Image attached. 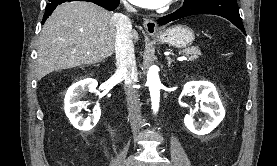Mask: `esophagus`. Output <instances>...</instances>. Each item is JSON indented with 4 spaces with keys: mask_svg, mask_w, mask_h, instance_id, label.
<instances>
[{
    "mask_svg": "<svg viewBox=\"0 0 277 166\" xmlns=\"http://www.w3.org/2000/svg\"><path fill=\"white\" fill-rule=\"evenodd\" d=\"M143 26L146 32L150 35H156L161 33V29L158 27L157 23L153 19H144Z\"/></svg>",
    "mask_w": 277,
    "mask_h": 166,
    "instance_id": "esophagus-1",
    "label": "esophagus"
}]
</instances>
